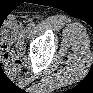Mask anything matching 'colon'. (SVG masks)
Returning <instances> with one entry per match:
<instances>
[{
	"label": "colon",
	"instance_id": "1",
	"mask_svg": "<svg viewBox=\"0 0 93 93\" xmlns=\"http://www.w3.org/2000/svg\"><path fill=\"white\" fill-rule=\"evenodd\" d=\"M14 22H11V26L2 23L1 28V64L2 67L8 66L15 67L19 58L15 54V45L17 40V34L13 31Z\"/></svg>",
	"mask_w": 93,
	"mask_h": 93
}]
</instances>
